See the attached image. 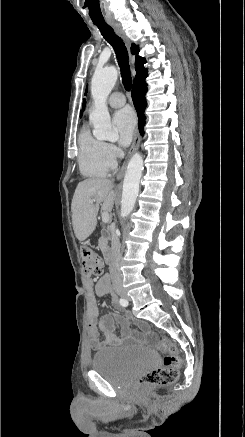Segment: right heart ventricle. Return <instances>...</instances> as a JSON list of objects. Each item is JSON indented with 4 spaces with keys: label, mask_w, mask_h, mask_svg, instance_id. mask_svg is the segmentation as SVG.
<instances>
[{
    "label": "right heart ventricle",
    "mask_w": 245,
    "mask_h": 437,
    "mask_svg": "<svg viewBox=\"0 0 245 437\" xmlns=\"http://www.w3.org/2000/svg\"><path fill=\"white\" fill-rule=\"evenodd\" d=\"M78 164L89 178L106 177L114 168L106 160L105 143L96 139L87 125L82 126L78 137Z\"/></svg>",
    "instance_id": "1"
}]
</instances>
